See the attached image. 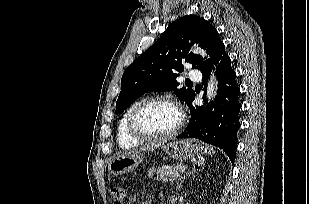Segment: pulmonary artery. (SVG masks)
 Returning a JSON list of instances; mask_svg holds the SVG:
<instances>
[{
	"instance_id": "obj_1",
	"label": "pulmonary artery",
	"mask_w": 309,
	"mask_h": 204,
	"mask_svg": "<svg viewBox=\"0 0 309 204\" xmlns=\"http://www.w3.org/2000/svg\"><path fill=\"white\" fill-rule=\"evenodd\" d=\"M190 80L199 81L201 80V72L198 70H191L188 74Z\"/></svg>"
}]
</instances>
